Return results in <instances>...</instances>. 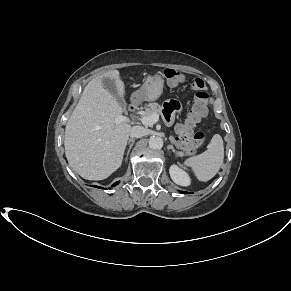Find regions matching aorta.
I'll list each match as a JSON object with an SVG mask.
<instances>
[{
  "mask_svg": "<svg viewBox=\"0 0 291 291\" xmlns=\"http://www.w3.org/2000/svg\"><path fill=\"white\" fill-rule=\"evenodd\" d=\"M149 147L153 150H158L163 147V140L160 137H152L149 140Z\"/></svg>",
  "mask_w": 291,
  "mask_h": 291,
  "instance_id": "762f6f07",
  "label": "aorta"
}]
</instances>
